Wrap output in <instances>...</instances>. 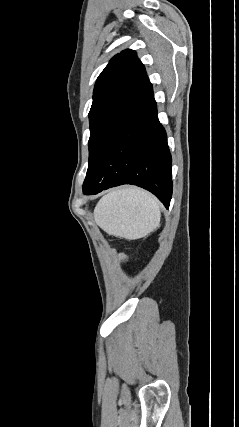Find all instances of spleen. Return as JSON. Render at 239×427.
Wrapping results in <instances>:
<instances>
[{
  "label": "spleen",
  "instance_id": "3e777b00",
  "mask_svg": "<svg viewBox=\"0 0 239 427\" xmlns=\"http://www.w3.org/2000/svg\"><path fill=\"white\" fill-rule=\"evenodd\" d=\"M96 224L105 232L135 240L155 230L161 219L158 200L137 187H124L103 196L94 209Z\"/></svg>",
  "mask_w": 239,
  "mask_h": 427
}]
</instances>
